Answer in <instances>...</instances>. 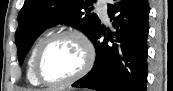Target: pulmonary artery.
Returning <instances> with one entry per match:
<instances>
[{
  "label": "pulmonary artery",
  "mask_w": 173,
  "mask_h": 91,
  "mask_svg": "<svg viewBox=\"0 0 173 91\" xmlns=\"http://www.w3.org/2000/svg\"><path fill=\"white\" fill-rule=\"evenodd\" d=\"M98 11L103 18H107V8L105 5V1H98Z\"/></svg>",
  "instance_id": "pulmonary-artery-1"
}]
</instances>
